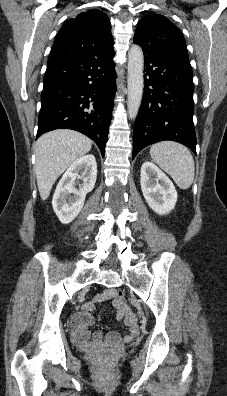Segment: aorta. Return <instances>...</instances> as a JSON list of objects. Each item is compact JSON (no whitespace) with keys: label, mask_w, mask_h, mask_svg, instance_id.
Segmentation results:
<instances>
[{"label":"aorta","mask_w":227,"mask_h":396,"mask_svg":"<svg viewBox=\"0 0 227 396\" xmlns=\"http://www.w3.org/2000/svg\"><path fill=\"white\" fill-rule=\"evenodd\" d=\"M143 69V51L140 46L133 45L128 52L127 110L130 119L137 117L141 105L144 88Z\"/></svg>","instance_id":"aorta-1"}]
</instances>
